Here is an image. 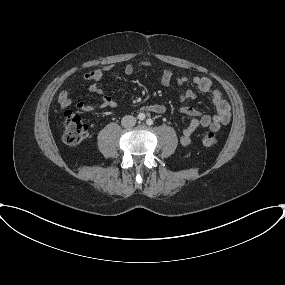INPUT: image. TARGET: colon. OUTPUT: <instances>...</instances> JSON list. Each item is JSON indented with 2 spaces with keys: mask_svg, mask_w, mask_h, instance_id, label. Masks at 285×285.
Masks as SVG:
<instances>
[{
  "mask_svg": "<svg viewBox=\"0 0 285 285\" xmlns=\"http://www.w3.org/2000/svg\"><path fill=\"white\" fill-rule=\"evenodd\" d=\"M63 141L69 147H77L87 137L89 128L82 119L72 111L65 113L62 121ZM203 143L206 146H214L217 143V137L214 132H208L203 137Z\"/></svg>",
  "mask_w": 285,
  "mask_h": 285,
  "instance_id": "1",
  "label": "colon"
}]
</instances>
